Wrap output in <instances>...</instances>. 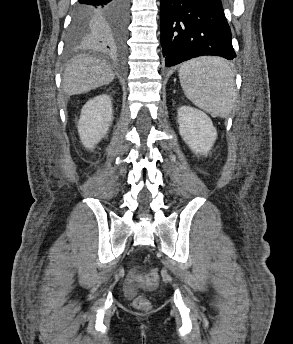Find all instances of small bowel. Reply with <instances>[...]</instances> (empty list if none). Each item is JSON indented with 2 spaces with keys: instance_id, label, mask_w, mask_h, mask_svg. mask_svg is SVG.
Segmentation results:
<instances>
[{
  "instance_id": "obj_1",
  "label": "small bowel",
  "mask_w": 293,
  "mask_h": 344,
  "mask_svg": "<svg viewBox=\"0 0 293 344\" xmlns=\"http://www.w3.org/2000/svg\"><path fill=\"white\" fill-rule=\"evenodd\" d=\"M136 292V283L131 275H128L124 284V293L128 297H132Z\"/></svg>"
}]
</instances>
